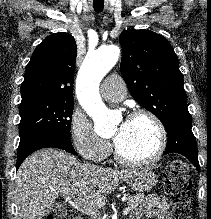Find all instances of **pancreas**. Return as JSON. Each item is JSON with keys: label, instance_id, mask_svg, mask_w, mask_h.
<instances>
[{"label": "pancreas", "instance_id": "pancreas-1", "mask_svg": "<svg viewBox=\"0 0 211 219\" xmlns=\"http://www.w3.org/2000/svg\"><path fill=\"white\" fill-rule=\"evenodd\" d=\"M125 197H126L127 205L128 207H130L131 210L136 209L138 206H140L145 202L144 194H137L135 196L126 194Z\"/></svg>", "mask_w": 211, "mask_h": 219}]
</instances>
